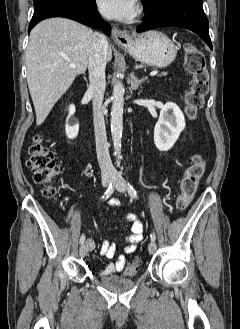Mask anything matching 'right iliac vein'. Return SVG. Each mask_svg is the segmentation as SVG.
<instances>
[{
    "mask_svg": "<svg viewBox=\"0 0 240 329\" xmlns=\"http://www.w3.org/2000/svg\"><path fill=\"white\" fill-rule=\"evenodd\" d=\"M112 181V177L111 176H104L103 178H102V185L104 186V187H107L109 184H110V182ZM87 247H86V245L85 244H82L81 245V247H80V249H79V255L81 256V257H84L86 254H87Z\"/></svg>",
    "mask_w": 240,
    "mask_h": 329,
    "instance_id": "right-iliac-vein-1",
    "label": "right iliac vein"
}]
</instances>
